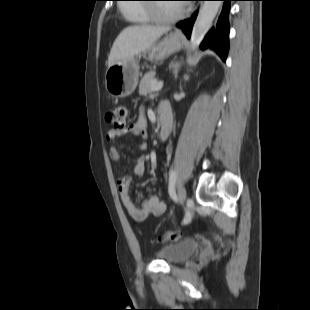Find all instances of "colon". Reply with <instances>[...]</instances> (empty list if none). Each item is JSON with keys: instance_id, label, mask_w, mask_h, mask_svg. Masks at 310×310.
<instances>
[{"instance_id": "1", "label": "colon", "mask_w": 310, "mask_h": 310, "mask_svg": "<svg viewBox=\"0 0 310 310\" xmlns=\"http://www.w3.org/2000/svg\"><path fill=\"white\" fill-rule=\"evenodd\" d=\"M126 118H127V108L125 105H117L110 109L106 113V120L111 124L116 130L123 131L126 128ZM183 232L179 229L172 230L160 234L157 237V241L162 242H174L181 239Z\"/></svg>"}]
</instances>
